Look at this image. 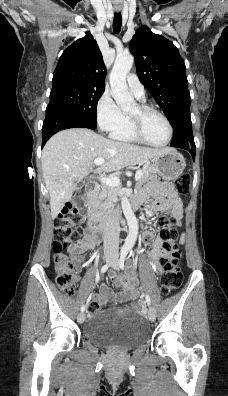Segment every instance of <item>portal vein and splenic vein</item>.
<instances>
[{
	"mask_svg": "<svg viewBox=\"0 0 228 396\" xmlns=\"http://www.w3.org/2000/svg\"><path fill=\"white\" fill-rule=\"evenodd\" d=\"M105 160L103 158H97L92 163L93 166H99L103 164ZM142 176V171L138 170L135 173V180L138 181ZM101 183L106 184L107 186L116 187L120 184V179L118 177H105L101 179Z\"/></svg>",
	"mask_w": 228,
	"mask_h": 396,
	"instance_id": "1",
	"label": "portal vein and splenic vein"
}]
</instances>
